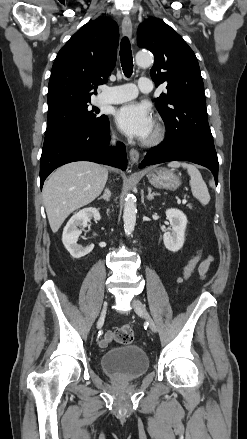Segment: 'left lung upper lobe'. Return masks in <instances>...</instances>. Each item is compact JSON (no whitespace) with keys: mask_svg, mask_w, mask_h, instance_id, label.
I'll return each instance as SVG.
<instances>
[{"mask_svg":"<svg viewBox=\"0 0 247 439\" xmlns=\"http://www.w3.org/2000/svg\"><path fill=\"white\" fill-rule=\"evenodd\" d=\"M138 44L155 57L150 75L167 93L155 99L167 134L189 143L214 147L208 125L204 84L197 58L183 38L159 19L140 25Z\"/></svg>","mask_w":247,"mask_h":439,"instance_id":"1","label":"left lung upper lobe"}]
</instances>
